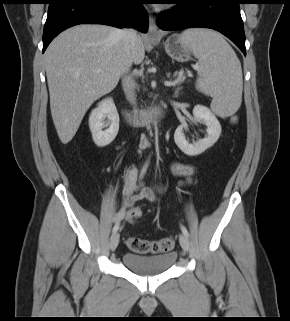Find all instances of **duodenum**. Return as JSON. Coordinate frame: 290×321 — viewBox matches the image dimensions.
I'll list each match as a JSON object with an SVG mask.
<instances>
[{
  "mask_svg": "<svg viewBox=\"0 0 290 321\" xmlns=\"http://www.w3.org/2000/svg\"><path fill=\"white\" fill-rule=\"evenodd\" d=\"M165 115L163 108H158L154 112L146 114H135L130 111H123V117L128 123L135 126L147 125L160 122Z\"/></svg>",
  "mask_w": 290,
  "mask_h": 321,
  "instance_id": "obj_1",
  "label": "duodenum"
}]
</instances>
